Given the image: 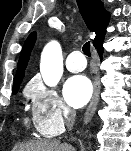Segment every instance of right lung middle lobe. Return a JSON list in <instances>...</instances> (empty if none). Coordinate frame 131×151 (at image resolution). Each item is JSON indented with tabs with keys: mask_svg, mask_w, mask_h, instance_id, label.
Listing matches in <instances>:
<instances>
[{
	"mask_svg": "<svg viewBox=\"0 0 131 151\" xmlns=\"http://www.w3.org/2000/svg\"><path fill=\"white\" fill-rule=\"evenodd\" d=\"M18 89H19V88L13 89V93L16 94Z\"/></svg>",
	"mask_w": 131,
	"mask_h": 151,
	"instance_id": "1",
	"label": "right lung middle lobe"
}]
</instances>
